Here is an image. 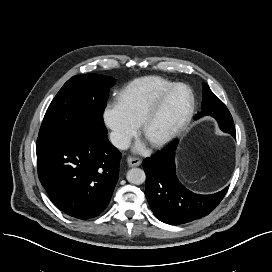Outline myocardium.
Wrapping results in <instances>:
<instances>
[{
  "instance_id": "f54148a6",
  "label": "myocardium",
  "mask_w": 272,
  "mask_h": 272,
  "mask_svg": "<svg viewBox=\"0 0 272 272\" xmlns=\"http://www.w3.org/2000/svg\"><path fill=\"white\" fill-rule=\"evenodd\" d=\"M178 90H184L187 94V105L185 108V111L181 117V119L178 121V123L168 130L167 132L154 136V137H148V131L152 124V122L155 120L157 115L160 113L162 108L166 105V103L170 100V98L178 91ZM194 95L192 90L185 84L177 83L173 84L166 92H164L148 109L146 112L141 124H140V132L141 134L148 140V142L154 146L159 147L162 146L169 141H171L173 138H175L188 124L190 121L193 111H194Z\"/></svg>"
}]
</instances>
